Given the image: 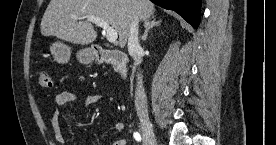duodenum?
<instances>
[{"instance_id":"duodenum-1","label":"duodenum","mask_w":276,"mask_h":145,"mask_svg":"<svg viewBox=\"0 0 276 145\" xmlns=\"http://www.w3.org/2000/svg\"><path fill=\"white\" fill-rule=\"evenodd\" d=\"M94 54L98 61L111 64L114 71L119 73L121 77L126 78L128 76V58L123 51L96 46Z\"/></svg>"}]
</instances>
